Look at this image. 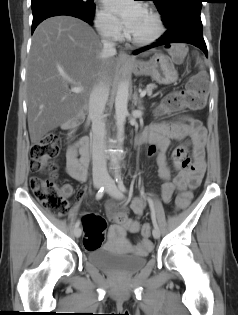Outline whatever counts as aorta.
I'll list each match as a JSON object with an SVG mask.
<instances>
[{"label":"aorta","mask_w":238,"mask_h":315,"mask_svg":"<svg viewBox=\"0 0 238 315\" xmlns=\"http://www.w3.org/2000/svg\"><path fill=\"white\" fill-rule=\"evenodd\" d=\"M128 96H129V83L126 80L121 81L118 84V89L115 97V115L117 136L119 140H123L124 125L126 116L128 114Z\"/></svg>","instance_id":"obj_1"}]
</instances>
